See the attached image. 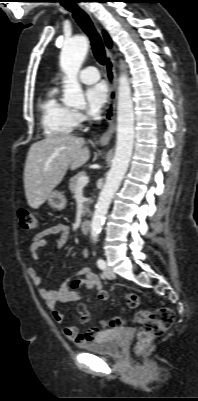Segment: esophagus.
I'll return each instance as SVG.
<instances>
[{"label": "esophagus", "instance_id": "esophagus-1", "mask_svg": "<svg viewBox=\"0 0 198 401\" xmlns=\"http://www.w3.org/2000/svg\"><path fill=\"white\" fill-rule=\"evenodd\" d=\"M81 7L90 15L93 19L91 13L83 6ZM99 33L102 35L101 30L97 27ZM107 60H106V78L109 84V94H108V103L106 107V112L104 115V119L108 124L106 131L100 136L99 143L102 145L108 144L111 140L115 129V109H116V97H117V79H116V70L115 64L112 57L111 51L106 48Z\"/></svg>", "mask_w": 198, "mask_h": 401}]
</instances>
